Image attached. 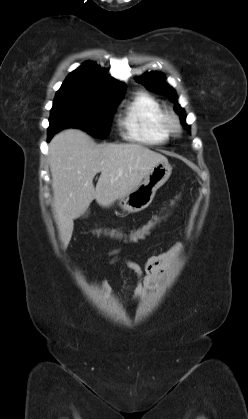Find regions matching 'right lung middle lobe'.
<instances>
[{
    "instance_id": "dd1d6c3e",
    "label": "right lung middle lobe",
    "mask_w": 248,
    "mask_h": 419,
    "mask_svg": "<svg viewBox=\"0 0 248 419\" xmlns=\"http://www.w3.org/2000/svg\"><path fill=\"white\" fill-rule=\"evenodd\" d=\"M122 97L97 98L71 92H57L51 115L48 134L54 135L66 127L87 131L92 136L105 138L115 107Z\"/></svg>"
}]
</instances>
